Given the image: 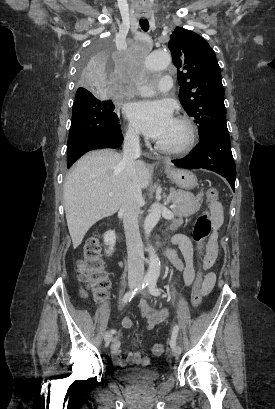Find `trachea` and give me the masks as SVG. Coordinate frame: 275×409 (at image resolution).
<instances>
[{
	"instance_id": "1",
	"label": "trachea",
	"mask_w": 275,
	"mask_h": 409,
	"mask_svg": "<svg viewBox=\"0 0 275 409\" xmlns=\"http://www.w3.org/2000/svg\"><path fill=\"white\" fill-rule=\"evenodd\" d=\"M139 24H140L141 29H142L144 32H147V31H148V29H149V22H148V20L141 19V20L139 21Z\"/></svg>"
}]
</instances>
